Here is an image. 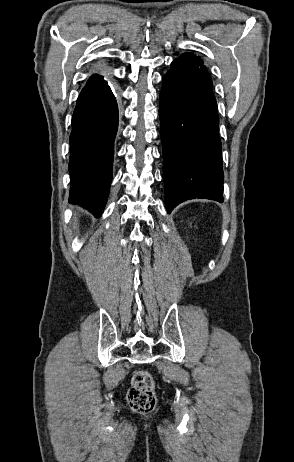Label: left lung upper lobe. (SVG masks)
<instances>
[{
	"label": "left lung upper lobe",
	"instance_id": "5c2ea615",
	"mask_svg": "<svg viewBox=\"0 0 294 462\" xmlns=\"http://www.w3.org/2000/svg\"><path fill=\"white\" fill-rule=\"evenodd\" d=\"M179 58L195 61V62H198V63H203L201 58H199V57H197V56H195L193 54H190V53H185V54L181 55Z\"/></svg>",
	"mask_w": 294,
	"mask_h": 462
}]
</instances>
